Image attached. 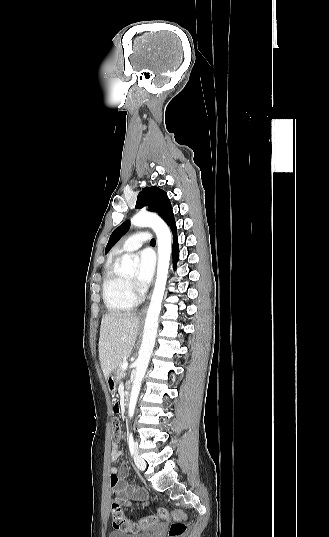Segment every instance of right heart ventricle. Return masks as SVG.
I'll list each match as a JSON object with an SVG mask.
<instances>
[{"mask_svg":"<svg viewBox=\"0 0 329 537\" xmlns=\"http://www.w3.org/2000/svg\"><path fill=\"white\" fill-rule=\"evenodd\" d=\"M102 294L105 305L111 313L125 312L135 306V298L114 261L108 262L105 267Z\"/></svg>","mask_w":329,"mask_h":537,"instance_id":"1","label":"right heart ventricle"}]
</instances>
